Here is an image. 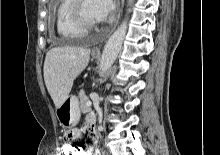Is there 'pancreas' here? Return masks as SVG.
<instances>
[{"instance_id": "cf45deb5", "label": "pancreas", "mask_w": 220, "mask_h": 155, "mask_svg": "<svg viewBox=\"0 0 220 155\" xmlns=\"http://www.w3.org/2000/svg\"><path fill=\"white\" fill-rule=\"evenodd\" d=\"M79 99H80V109L83 113H87L91 110L90 107L86 106V103L88 102V97L84 94V92L79 93Z\"/></svg>"}]
</instances>
